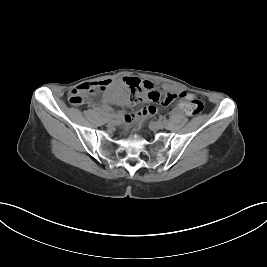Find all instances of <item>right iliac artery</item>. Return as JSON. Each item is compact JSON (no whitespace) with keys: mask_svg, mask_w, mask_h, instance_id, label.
I'll use <instances>...</instances> for the list:
<instances>
[{"mask_svg":"<svg viewBox=\"0 0 267 267\" xmlns=\"http://www.w3.org/2000/svg\"><path fill=\"white\" fill-rule=\"evenodd\" d=\"M102 116L105 118V119H107V120H109V119H112V118H115L116 117V115L115 114H102Z\"/></svg>","mask_w":267,"mask_h":267,"instance_id":"82829eb1","label":"right iliac artery"}]
</instances>
